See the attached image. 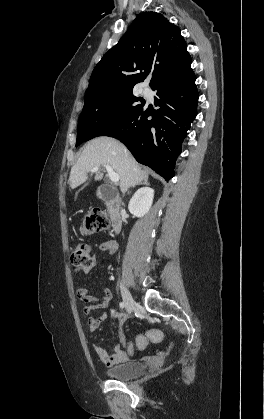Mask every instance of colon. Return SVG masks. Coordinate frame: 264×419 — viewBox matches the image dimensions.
<instances>
[{"label": "colon", "instance_id": "obj_1", "mask_svg": "<svg viewBox=\"0 0 264 419\" xmlns=\"http://www.w3.org/2000/svg\"><path fill=\"white\" fill-rule=\"evenodd\" d=\"M109 227L107 215L99 210L90 212L82 223V231L86 234L98 233L106 230ZM71 263L79 268H89L92 266L93 254L91 246L85 241H80L76 244L70 256ZM157 335L154 331L138 335L132 342L131 348L136 350L145 349L150 343L154 342Z\"/></svg>", "mask_w": 264, "mask_h": 419}]
</instances>
